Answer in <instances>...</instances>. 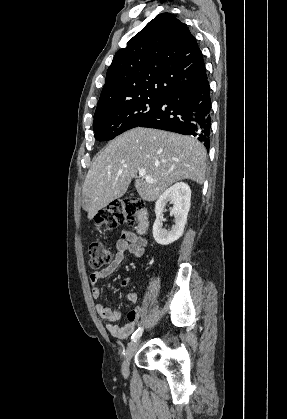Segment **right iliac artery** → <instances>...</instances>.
<instances>
[{
  "label": "right iliac artery",
  "mask_w": 287,
  "mask_h": 419,
  "mask_svg": "<svg viewBox=\"0 0 287 419\" xmlns=\"http://www.w3.org/2000/svg\"><path fill=\"white\" fill-rule=\"evenodd\" d=\"M142 332H143V328L142 327H139L134 333H133V335H132V337H131V339H132V341H136L141 335H142Z\"/></svg>",
  "instance_id": "right-iliac-artery-1"
}]
</instances>
